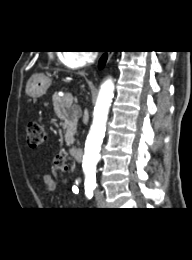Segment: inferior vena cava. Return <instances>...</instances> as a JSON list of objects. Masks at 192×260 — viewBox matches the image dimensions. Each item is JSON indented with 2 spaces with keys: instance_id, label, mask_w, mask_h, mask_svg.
Returning a JSON list of instances; mask_svg holds the SVG:
<instances>
[{
  "instance_id": "1",
  "label": "inferior vena cava",
  "mask_w": 192,
  "mask_h": 260,
  "mask_svg": "<svg viewBox=\"0 0 192 260\" xmlns=\"http://www.w3.org/2000/svg\"><path fill=\"white\" fill-rule=\"evenodd\" d=\"M96 58V55L93 53L90 58H89V62L92 63Z\"/></svg>"
}]
</instances>
